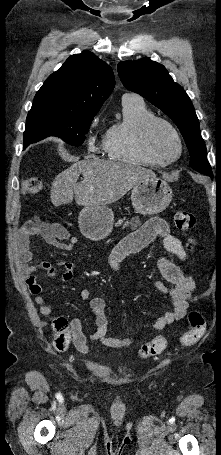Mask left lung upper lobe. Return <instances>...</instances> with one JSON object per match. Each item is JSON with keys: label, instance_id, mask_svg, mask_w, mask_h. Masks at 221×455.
<instances>
[{"label": "left lung upper lobe", "instance_id": "obj_1", "mask_svg": "<svg viewBox=\"0 0 221 455\" xmlns=\"http://www.w3.org/2000/svg\"><path fill=\"white\" fill-rule=\"evenodd\" d=\"M123 85L146 98L168 115L178 126L189 150L190 166L210 176L207 149L189 96L175 83L167 69L148 57L118 64Z\"/></svg>", "mask_w": 221, "mask_h": 455}]
</instances>
